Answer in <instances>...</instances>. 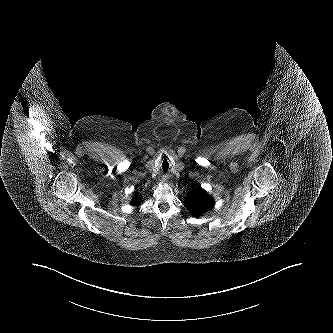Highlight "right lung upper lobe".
Instances as JSON below:
<instances>
[{
	"label": "right lung upper lobe",
	"instance_id": "1",
	"mask_svg": "<svg viewBox=\"0 0 333 333\" xmlns=\"http://www.w3.org/2000/svg\"><path fill=\"white\" fill-rule=\"evenodd\" d=\"M131 204L133 205H140L141 204V199L139 197H134L132 200Z\"/></svg>",
	"mask_w": 333,
	"mask_h": 333
}]
</instances>
